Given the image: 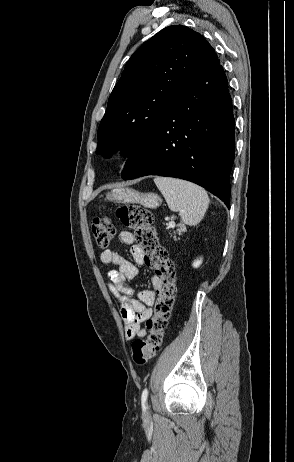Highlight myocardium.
Masks as SVG:
<instances>
[{
	"label": "myocardium",
	"mask_w": 294,
	"mask_h": 462,
	"mask_svg": "<svg viewBox=\"0 0 294 462\" xmlns=\"http://www.w3.org/2000/svg\"><path fill=\"white\" fill-rule=\"evenodd\" d=\"M123 153H124L123 150H119L117 154H118V156H120V155H122Z\"/></svg>",
	"instance_id": "myocardium-1"
}]
</instances>
